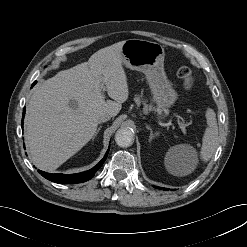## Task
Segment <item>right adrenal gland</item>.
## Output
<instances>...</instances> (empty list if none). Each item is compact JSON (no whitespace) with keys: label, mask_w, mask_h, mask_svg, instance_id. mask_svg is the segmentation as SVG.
Wrapping results in <instances>:
<instances>
[{"label":"right adrenal gland","mask_w":247,"mask_h":247,"mask_svg":"<svg viewBox=\"0 0 247 247\" xmlns=\"http://www.w3.org/2000/svg\"><path fill=\"white\" fill-rule=\"evenodd\" d=\"M101 127H102V126L98 127V129H97V131L95 132V135H94V137H93V140H94V139H95V137L98 135V133H99V131H100Z\"/></svg>","instance_id":"right-adrenal-gland-1"}]
</instances>
